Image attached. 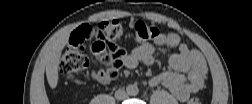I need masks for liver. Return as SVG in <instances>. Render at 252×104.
<instances>
[{"mask_svg": "<svg viewBox=\"0 0 252 104\" xmlns=\"http://www.w3.org/2000/svg\"><path fill=\"white\" fill-rule=\"evenodd\" d=\"M70 30L63 31L56 40L53 41L48 57L46 59V77L49 86L55 89L58 84L59 73L58 67L61 57V52L68 42Z\"/></svg>", "mask_w": 252, "mask_h": 104, "instance_id": "obj_1", "label": "liver"}]
</instances>
